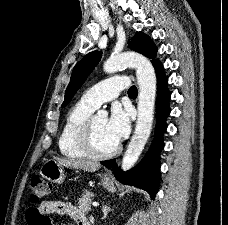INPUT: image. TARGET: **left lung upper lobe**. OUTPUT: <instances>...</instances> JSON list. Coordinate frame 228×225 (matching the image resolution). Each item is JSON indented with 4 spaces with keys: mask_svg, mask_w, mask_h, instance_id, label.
I'll list each match as a JSON object with an SVG mask.
<instances>
[{
    "mask_svg": "<svg viewBox=\"0 0 228 225\" xmlns=\"http://www.w3.org/2000/svg\"><path fill=\"white\" fill-rule=\"evenodd\" d=\"M129 47L144 56L152 59V64L159 62L156 57L157 48L151 38L143 32H136L129 43ZM102 56L101 52L93 51L85 55L74 67L70 82L65 92V99L62 107L67 106L77 90L81 87L88 75L98 64Z\"/></svg>",
    "mask_w": 228,
    "mask_h": 225,
    "instance_id": "obj_1",
    "label": "left lung upper lobe"
}]
</instances>
